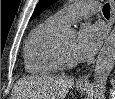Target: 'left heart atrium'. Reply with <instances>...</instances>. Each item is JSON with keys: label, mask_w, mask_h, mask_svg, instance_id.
<instances>
[{"label": "left heart atrium", "mask_w": 115, "mask_h": 99, "mask_svg": "<svg viewBox=\"0 0 115 99\" xmlns=\"http://www.w3.org/2000/svg\"><path fill=\"white\" fill-rule=\"evenodd\" d=\"M104 28L99 24H85L81 27L74 47L77 60L91 58L99 48L104 38Z\"/></svg>", "instance_id": "left-heart-atrium-1"}]
</instances>
